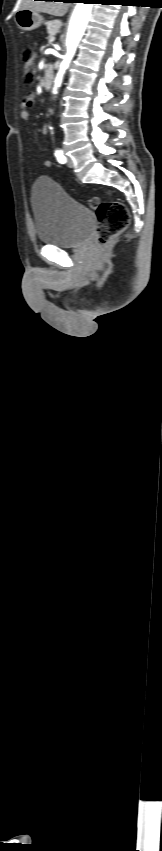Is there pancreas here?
<instances>
[{
	"instance_id": "pancreas-1",
	"label": "pancreas",
	"mask_w": 162,
	"mask_h": 851,
	"mask_svg": "<svg viewBox=\"0 0 162 851\" xmlns=\"http://www.w3.org/2000/svg\"><path fill=\"white\" fill-rule=\"evenodd\" d=\"M46 25H47V32L49 34L48 41H49V43H52L50 41V39H51V37H54L59 32V29H60L62 23L60 21H49V22H47Z\"/></svg>"
}]
</instances>
